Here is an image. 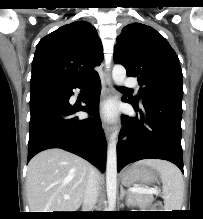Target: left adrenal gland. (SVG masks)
<instances>
[{
    "label": "left adrenal gland",
    "instance_id": "a2214340",
    "mask_svg": "<svg viewBox=\"0 0 203 219\" xmlns=\"http://www.w3.org/2000/svg\"><path fill=\"white\" fill-rule=\"evenodd\" d=\"M125 194H128L129 195V192L126 191L122 185H120V198L123 199L124 195Z\"/></svg>",
    "mask_w": 203,
    "mask_h": 219
}]
</instances>
